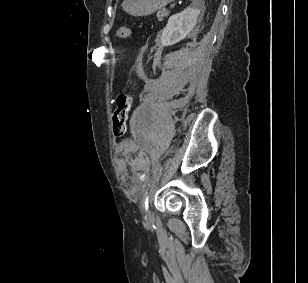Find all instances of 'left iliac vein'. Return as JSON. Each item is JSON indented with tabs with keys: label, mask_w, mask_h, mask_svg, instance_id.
Wrapping results in <instances>:
<instances>
[{
	"label": "left iliac vein",
	"mask_w": 308,
	"mask_h": 283,
	"mask_svg": "<svg viewBox=\"0 0 308 283\" xmlns=\"http://www.w3.org/2000/svg\"><path fill=\"white\" fill-rule=\"evenodd\" d=\"M142 212H143V210H142ZM143 214L145 215V219H146L147 221H148V220H151L152 215H151L150 212H147V214H145V213L143 212Z\"/></svg>",
	"instance_id": "obj_1"
}]
</instances>
